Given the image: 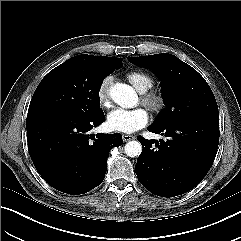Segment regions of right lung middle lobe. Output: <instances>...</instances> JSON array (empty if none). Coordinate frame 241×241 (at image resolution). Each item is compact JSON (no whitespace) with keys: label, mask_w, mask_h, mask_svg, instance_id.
I'll return each mask as SVG.
<instances>
[{"label":"right lung middle lobe","mask_w":241,"mask_h":241,"mask_svg":"<svg viewBox=\"0 0 241 241\" xmlns=\"http://www.w3.org/2000/svg\"><path fill=\"white\" fill-rule=\"evenodd\" d=\"M121 66L70 58L42 79L31 99L28 117L64 113L89 118L102 113L99 98L102 82Z\"/></svg>","instance_id":"obj_1"}]
</instances>
